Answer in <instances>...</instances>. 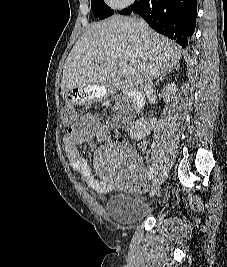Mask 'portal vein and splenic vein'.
<instances>
[{
  "instance_id": "18ae733b",
  "label": "portal vein and splenic vein",
  "mask_w": 227,
  "mask_h": 267,
  "mask_svg": "<svg viewBox=\"0 0 227 267\" xmlns=\"http://www.w3.org/2000/svg\"><path fill=\"white\" fill-rule=\"evenodd\" d=\"M101 60L103 58H100ZM119 67H120V72L121 74L126 78V79H131L133 76V71L130 67H128L127 65H125L124 63L120 62L119 63Z\"/></svg>"
}]
</instances>
